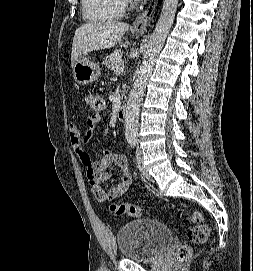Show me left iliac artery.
<instances>
[{"label": "left iliac artery", "mask_w": 253, "mask_h": 271, "mask_svg": "<svg viewBox=\"0 0 253 271\" xmlns=\"http://www.w3.org/2000/svg\"><path fill=\"white\" fill-rule=\"evenodd\" d=\"M135 144H136V141L133 142V145H135Z\"/></svg>", "instance_id": "1"}]
</instances>
